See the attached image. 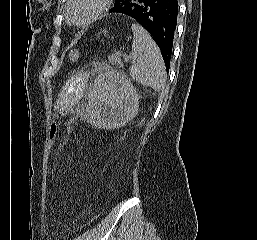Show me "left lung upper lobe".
Returning a JSON list of instances; mask_svg holds the SVG:
<instances>
[{
  "instance_id": "obj_1",
  "label": "left lung upper lobe",
  "mask_w": 257,
  "mask_h": 240,
  "mask_svg": "<svg viewBox=\"0 0 257 240\" xmlns=\"http://www.w3.org/2000/svg\"><path fill=\"white\" fill-rule=\"evenodd\" d=\"M122 0H115L114 7L118 6Z\"/></svg>"
}]
</instances>
